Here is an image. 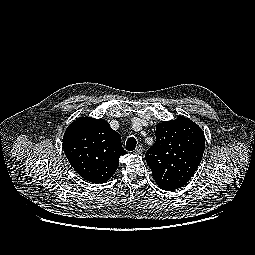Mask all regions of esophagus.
<instances>
[{"instance_id":"34e87169","label":"esophagus","mask_w":255,"mask_h":255,"mask_svg":"<svg viewBox=\"0 0 255 255\" xmlns=\"http://www.w3.org/2000/svg\"><path fill=\"white\" fill-rule=\"evenodd\" d=\"M142 152H143V147H142V145H138V146L136 147V149L134 150V153L137 154V155L141 154Z\"/></svg>"}]
</instances>
